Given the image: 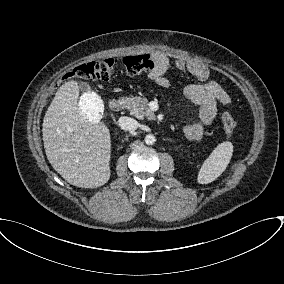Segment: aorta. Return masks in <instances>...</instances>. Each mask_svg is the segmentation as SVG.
I'll return each mask as SVG.
<instances>
[{
    "label": "aorta",
    "mask_w": 284,
    "mask_h": 284,
    "mask_svg": "<svg viewBox=\"0 0 284 284\" xmlns=\"http://www.w3.org/2000/svg\"><path fill=\"white\" fill-rule=\"evenodd\" d=\"M144 141L147 145H153L156 142V137L153 134H147Z\"/></svg>",
    "instance_id": "762f6f07"
}]
</instances>
